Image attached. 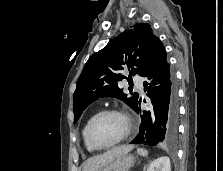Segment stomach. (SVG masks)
Returning a JSON list of instances; mask_svg holds the SVG:
<instances>
[{
  "label": "stomach",
  "instance_id": "0dacf381",
  "mask_svg": "<svg viewBox=\"0 0 223 171\" xmlns=\"http://www.w3.org/2000/svg\"><path fill=\"white\" fill-rule=\"evenodd\" d=\"M134 156L122 154L115 157L111 162L100 168L98 171H129L134 163Z\"/></svg>",
  "mask_w": 223,
  "mask_h": 171
}]
</instances>
